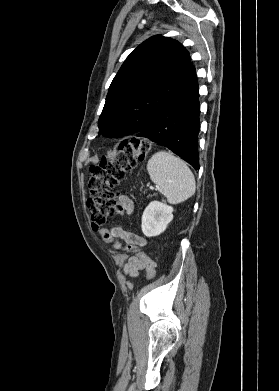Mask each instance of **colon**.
<instances>
[{
  "mask_svg": "<svg viewBox=\"0 0 279 391\" xmlns=\"http://www.w3.org/2000/svg\"><path fill=\"white\" fill-rule=\"evenodd\" d=\"M149 152L150 145L146 141L131 138L121 142L111 157L103 158L98 164L90 167V198L87 205L92 225L96 230L108 218L122 214L123 208L116 201L115 188L127 172L147 158ZM101 235L107 242L114 239L108 230H102ZM126 248L128 251L135 252L136 256L146 264L148 277L153 279L155 277L153 260L132 244H127Z\"/></svg>",
  "mask_w": 279,
  "mask_h": 391,
  "instance_id": "1",
  "label": "colon"
}]
</instances>
